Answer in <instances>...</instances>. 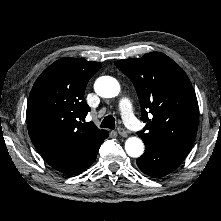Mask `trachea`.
<instances>
[{
	"instance_id": "trachea-1",
	"label": "trachea",
	"mask_w": 221,
	"mask_h": 221,
	"mask_svg": "<svg viewBox=\"0 0 221 221\" xmlns=\"http://www.w3.org/2000/svg\"><path fill=\"white\" fill-rule=\"evenodd\" d=\"M100 127L109 128V129H115V118L112 115L106 116L103 119Z\"/></svg>"
}]
</instances>
